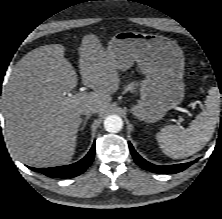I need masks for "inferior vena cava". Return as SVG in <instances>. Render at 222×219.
I'll return each mask as SVG.
<instances>
[{
  "label": "inferior vena cava",
  "mask_w": 222,
  "mask_h": 219,
  "mask_svg": "<svg viewBox=\"0 0 222 219\" xmlns=\"http://www.w3.org/2000/svg\"><path fill=\"white\" fill-rule=\"evenodd\" d=\"M99 111V107L97 105H90L83 109V114L90 115L92 113H97Z\"/></svg>",
  "instance_id": "1"
}]
</instances>
